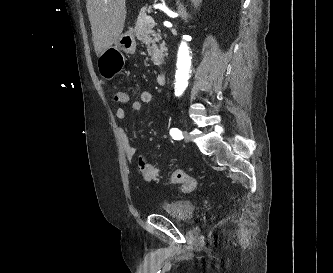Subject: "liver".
I'll return each instance as SVG.
<instances>
[{
	"mask_svg": "<svg viewBox=\"0 0 333 273\" xmlns=\"http://www.w3.org/2000/svg\"><path fill=\"white\" fill-rule=\"evenodd\" d=\"M92 39L97 57L116 43L126 19V0H87Z\"/></svg>",
	"mask_w": 333,
	"mask_h": 273,
	"instance_id": "liver-1",
	"label": "liver"
}]
</instances>
